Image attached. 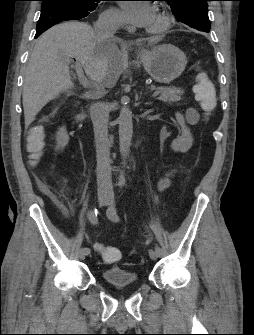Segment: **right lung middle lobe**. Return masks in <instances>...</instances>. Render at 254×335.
Segmentation results:
<instances>
[{
    "instance_id": "obj_1",
    "label": "right lung middle lobe",
    "mask_w": 254,
    "mask_h": 335,
    "mask_svg": "<svg viewBox=\"0 0 254 335\" xmlns=\"http://www.w3.org/2000/svg\"><path fill=\"white\" fill-rule=\"evenodd\" d=\"M41 7H45L48 5L60 4V5H69L74 7L77 10L84 12H91L96 9L98 3L101 0H41Z\"/></svg>"
}]
</instances>
